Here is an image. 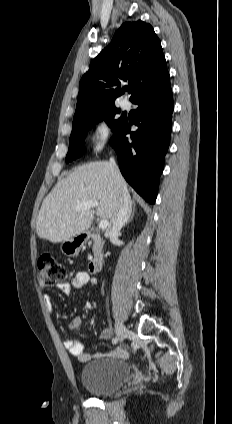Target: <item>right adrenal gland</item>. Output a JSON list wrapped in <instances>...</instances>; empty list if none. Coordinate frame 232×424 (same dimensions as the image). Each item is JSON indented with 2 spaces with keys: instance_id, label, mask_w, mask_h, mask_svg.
I'll return each instance as SVG.
<instances>
[{
  "instance_id": "1",
  "label": "right adrenal gland",
  "mask_w": 232,
  "mask_h": 424,
  "mask_svg": "<svg viewBox=\"0 0 232 424\" xmlns=\"http://www.w3.org/2000/svg\"><path fill=\"white\" fill-rule=\"evenodd\" d=\"M134 214H135V203L133 202V210L126 224L130 223L133 220Z\"/></svg>"
}]
</instances>
